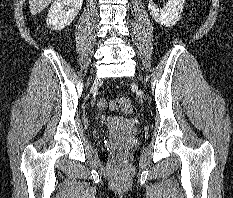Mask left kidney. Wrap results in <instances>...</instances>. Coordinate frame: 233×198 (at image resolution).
<instances>
[{"label":"left kidney","instance_id":"5707ae66","mask_svg":"<svg viewBox=\"0 0 233 198\" xmlns=\"http://www.w3.org/2000/svg\"><path fill=\"white\" fill-rule=\"evenodd\" d=\"M184 2L185 0H168L163 8H158L153 0H148V10L156 22L165 27H170L179 21Z\"/></svg>","mask_w":233,"mask_h":198}]
</instances>
